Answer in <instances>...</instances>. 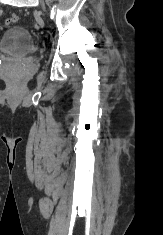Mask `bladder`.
I'll list each match as a JSON object with an SVG mask.
<instances>
[{
  "label": "bladder",
  "instance_id": "31cf9c89",
  "mask_svg": "<svg viewBox=\"0 0 163 235\" xmlns=\"http://www.w3.org/2000/svg\"><path fill=\"white\" fill-rule=\"evenodd\" d=\"M35 51L30 32L22 26L7 28L0 35V54L24 57Z\"/></svg>",
  "mask_w": 163,
  "mask_h": 235
}]
</instances>
